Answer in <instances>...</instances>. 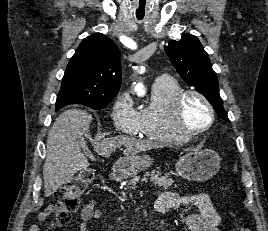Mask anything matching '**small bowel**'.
Here are the masks:
<instances>
[{"mask_svg": "<svg viewBox=\"0 0 268 231\" xmlns=\"http://www.w3.org/2000/svg\"><path fill=\"white\" fill-rule=\"evenodd\" d=\"M194 206L196 213H190L184 217V223L190 231H219V215L216 211L211 197L204 192L194 195H180L174 192H163L155 201L154 207L157 212L164 213L169 209H177L184 206ZM46 211L39 213V219L44 220ZM102 209L91 200L81 212V231H90L89 224L102 216ZM29 231H39L37 225H32Z\"/></svg>", "mask_w": 268, "mask_h": 231, "instance_id": "small-bowel-1", "label": "small bowel"}]
</instances>
